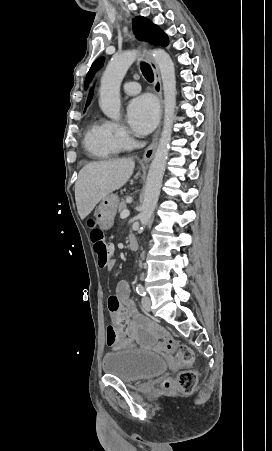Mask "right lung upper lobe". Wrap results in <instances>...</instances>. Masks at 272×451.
I'll return each mask as SVG.
<instances>
[{"label":"right lung upper lobe","mask_w":272,"mask_h":451,"mask_svg":"<svg viewBox=\"0 0 272 451\" xmlns=\"http://www.w3.org/2000/svg\"><path fill=\"white\" fill-rule=\"evenodd\" d=\"M92 96H93V90L91 89L86 105H88L90 103Z\"/></svg>","instance_id":"right-lung-upper-lobe-1"}]
</instances>
